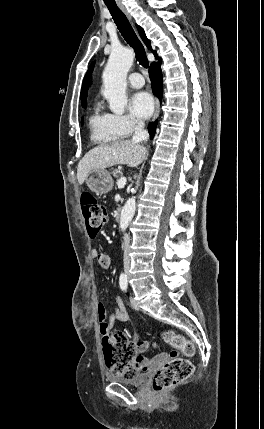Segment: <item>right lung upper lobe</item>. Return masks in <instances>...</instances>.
I'll return each instance as SVG.
<instances>
[{"instance_id":"1","label":"right lung upper lobe","mask_w":264,"mask_h":429,"mask_svg":"<svg viewBox=\"0 0 264 429\" xmlns=\"http://www.w3.org/2000/svg\"><path fill=\"white\" fill-rule=\"evenodd\" d=\"M136 27L138 29V32H139L142 40L146 44V46L149 49H151V43H150L149 39L146 37L144 30L138 25H136ZM153 53H154L155 57H157V53L155 51H153ZM93 67H94V63H92L90 65L88 72L86 73V76L84 78L83 84H82V88H81V104H82V106L87 105L86 98H87V93H88V83H89V79H90Z\"/></svg>"}]
</instances>
